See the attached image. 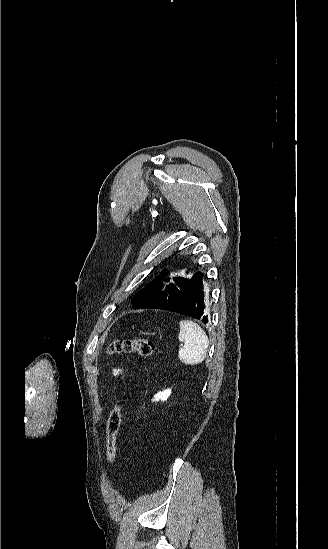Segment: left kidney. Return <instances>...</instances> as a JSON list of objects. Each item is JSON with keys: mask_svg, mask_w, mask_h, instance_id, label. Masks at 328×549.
<instances>
[{"mask_svg": "<svg viewBox=\"0 0 328 549\" xmlns=\"http://www.w3.org/2000/svg\"><path fill=\"white\" fill-rule=\"evenodd\" d=\"M170 395L171 389H166V391H162V393H157V395H154L153 401H167Z\"/></svg>", "mask_w": 328, "mask_h": 549, "instance_id": "left-kidney-1", "label": "left kidney"}]
</instances>
